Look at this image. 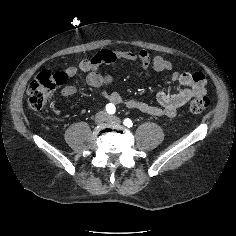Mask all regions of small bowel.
Here are the masks:
<instances>
[{"mask_svg": "<svg viewBox=\"0 0 236 236\" xmlns=\"http://www.w3.org/2000/svg\"><path fill=\"white\" fill-rule=\"evenodd\" d=\"M118 59L139 61L142 69L148 70L152 68L156 72H170L173 68L170 61L160 55L151 57L146 50L136 52L104 49L90 58L81 60L77 66L66 68L64 73L67 78H72L78 71L84 72L86 73V83L95 88L99 95L111 104H123L128 108L137 109L152 116L174 117L178 110L192 98L201 96L206 92L207 77L203 72H174L172 80L182 86V89L177 92L170 90L160 91L157 94L158 105L124 98L117 92L107 90V87L113 83L114 76L99 72L100 65L114 63ZM76 93L77 88L75 86H65L59 94V101L74 96Z\"/></svg>", "mask_w": 236, "mask_h": 236, "instance_id": "obj_1", "label": "small bowel"}]
</instances>
